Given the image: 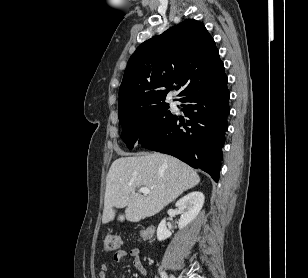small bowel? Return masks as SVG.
Returning <instances> with one entry per match:
<instances>
[{"label": "small bowel", "instance_id": "1", "mask_svg": "<svg viewBox=\"0 0 308 278\" xmlns=\"http://www.w3.org/2000/svg\"><path fill=\"white\" fill-rule=\"evenodd\" d=\"M113 259L118 263L132 260L136 270L142 276H146V270L141 260V252L138 248H132L130 250L119 249L114 253ZM108 271L109 265L107 263H102L100 266L99 278H109Z\"/></svg>", "mask_w": 308, "mask_h": 278}]
</instances>
